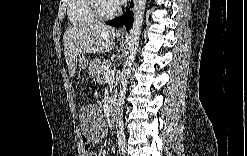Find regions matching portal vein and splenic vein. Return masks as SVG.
Listing matches in <instances>:
<instances>
[{"label":"portal vein and splenic vein","instance_id":"obj_1","mask_svg":"<svg viewBox=\"0 0 247 156\" xmlns=\"http://www.w3.org/2000/svg\"><path fill=\"white\" fill-rule=\"evenodd\" d=\"M110 71H108L105 75L106 80L109 79Z\"/></svg>","mask_w":247,"mask_h":156}]
</instances>
